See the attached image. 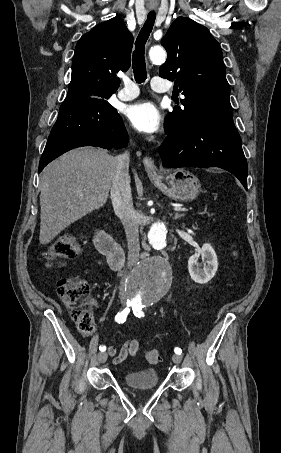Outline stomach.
<instances>
[{
  "mask_svg": "<svg viewBox=\"0 0 281 453\" xmlns=\"http://www.w3.org/2000/svg\"><path fill=\"white\" fill-rule=\"evenodd\" d=\"M166 196L173 200H193L200 192L201 184L195 174L184 168H166L149 176Z\"/></svg>",
  "mask_w": 281,
  "mask_h": 453,
  "instance_id": "obj_1",
  "label": "stomach"
}]
</instances>
